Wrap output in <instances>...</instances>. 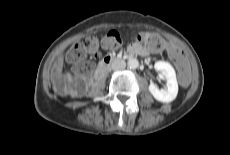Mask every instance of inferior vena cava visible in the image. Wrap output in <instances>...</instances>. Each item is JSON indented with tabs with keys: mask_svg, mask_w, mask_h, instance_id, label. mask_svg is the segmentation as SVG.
Segmentation results:
<instances>
[{
	"mask_svg": "<svg viewBox=\"0 0 230 155\" xmlns=\"http://www.w3.org/2000/svg\"><path fill=\"white\" fill-rule=\"evenodd\" d=\"M126 67V63L123 60H118L117 62L112 64L113 70L124 69Z\"/></svg>",
	"mask_w": 230,
	"mask_h": 155,
	"instance_id": "1",
	"label": "inferior vena cava"
}]
</instances>
